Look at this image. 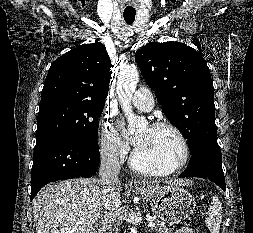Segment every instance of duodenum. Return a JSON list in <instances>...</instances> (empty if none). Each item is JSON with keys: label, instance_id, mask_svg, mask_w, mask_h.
<instances>
[{"label": "duodenum", "instance_id": "obj_1", "mask_svg": "<svg viewBox=\"0 0 253 233\" xmlns=\"http://www.w3.org/2000/svg\"><path fill=\"white\" fill-rule=\"evenodd\" d=\"M109 221L104 218L98 224V233H105L108 229Z\"/></svg>", "mask_w": 253, "mask_h": 233}]
</instances>
